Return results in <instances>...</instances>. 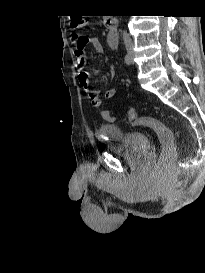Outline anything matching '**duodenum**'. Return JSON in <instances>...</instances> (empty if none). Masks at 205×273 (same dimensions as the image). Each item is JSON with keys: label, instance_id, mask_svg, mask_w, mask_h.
<instances>
[{"label": "duodenum", "instance_id": "obj_1", "mask_svg": "<svg viewBox=\"0 0 205 273\" xmlns=\"http://www.w3.org/2000/svg\"><path fill=\"white\" fill-rule=\"evenodd\" d=\"M105 26L108 29L109 33L112 35V38L114 39V33L116 31V26H117V18L107 17L105 21Z\"/></svg>", "mask_w": 205, "mask_h": 273}]
</instances>
